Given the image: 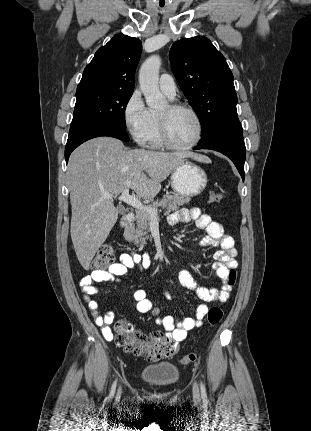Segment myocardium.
Masks as SVG:
<instances>
[{
  "mask_svg": "<svg viewBox=\"0 0 311 431\" xmlns=\"http://www.w3.org/2000/svg\"><path fill=\"white\" fill-rule=\"evenodd\" d=\"M188 111L192 113L199 124V133L195 141L187 145L177 144L171 137L170 127H169V117L179 111ZM159 123V137L162 143L170 148L176 150H189L196 147L202 140L205 133V123L201 114L192 106L183 103H171L169 105V115H158Z\"/></svg>",
  "mask_w": 311,
  "mask_h": 431,
  "instance_id": "f54148a6",
  "label": "myocardium"
}]
</instances>
